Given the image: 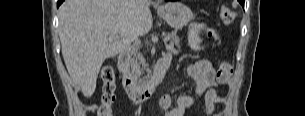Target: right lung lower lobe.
Segmentation results:
<instances>
[{"label": "right lung lower lobe", "instance_id": "98d812e1", "mask_svg": "<svg viewBox=\"0 0 305 116\" xmlns=\"http://www.w3.org/2000/svg\"><path fill=\"white\" fill-rule=\"evenodd\" d=\"M64 0H58L57 2V7H59V5L63 2Z\"/></svg>", "mask_w": 305, "mask_h": 116}]
</instances>
